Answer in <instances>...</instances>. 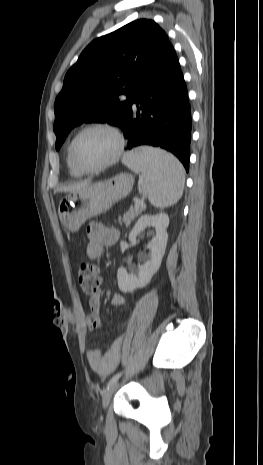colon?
Segmentation results:
<instances>
[{"label": "colon", "instance_id": "1", "mask_svg": "<svg viewBox=\"0 0 263 465\" xmlns=\"http://www.w3.org/2000/svg\"><path fill=\"white\" fill-rule=\"evenodd\" d=\"M78 283L82 292L87 296L97 294L101 284V274L99 269L89 263H83L78 270ZM86 324L90 329H99L102 326L99 317L89 315Z\"/></svg>", "mask_w": 263, "mask_h": 465}]
</instances>
